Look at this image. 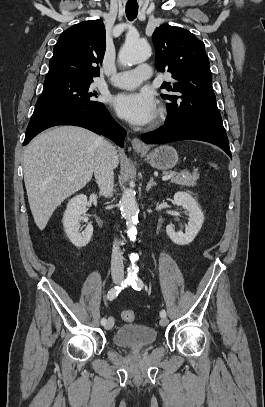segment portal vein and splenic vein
Here are the masks:
<instances>
[{
  "label": "portal vein and splenic vein",
  "instance_id": "obj_1",
  "mask_svg": "<svg viewBox=\"0 0 265 407\" xmlns=\"http://www.w3.org/2000/svg\"><path fill=\"white\" fill-rule=\"evenodd\" d=\"M174 174H168L162 177L163 181L169 180L171 177H173Z\"/></svg>",
  "mask_w": 265,
  "mask_h": 407
}]
</instances>
